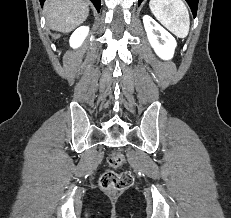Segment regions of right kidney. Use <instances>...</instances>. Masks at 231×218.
<instances>
[{
  "label": "right kidney",
  "mask_w": 231,
  "mask_h": 218,
  "mask_svg": "<svg viewBox=\"0 0 231 218\" xmlns=\"http://www.w3.org/2000/svg\"><path fill=\"white\" fill-rule=\"evenodd\" d=\"M89 32V27L81 26L74 31V33L70 37V46L72 48H78L81 46L85 38L87 37Z\"/></svg>",
  "instance_id": "obj_1"
}]
</instances>
